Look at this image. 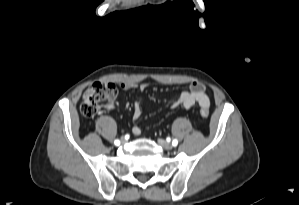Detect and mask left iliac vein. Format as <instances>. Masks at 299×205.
Segmentation results:
<instances>
[{"label": "left iliac vein", "mask_w": 299, "mask_h": 205, "mask_svg": "<svg viewBox=\"0 0 299 205\" xmlns=\"http://www.w3.org/2000/svg\"><path fill=\"white\" fill-rule=\"evenodd\" d=\"M158 144L165 150H171L173 148V145L165 141L164 139H158Z\"/></svg>", "instance_id": "obj_1"}]
</instances>
